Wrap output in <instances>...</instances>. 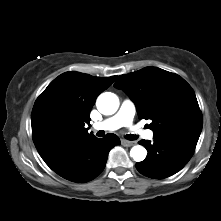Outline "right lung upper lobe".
I'll return each instance as SVG.
<instances>
[{
  "instance_id": "obj_1",
  "label": "right lung upper lobe",
  "mask_w": 221,
  "mask_h": 221,
  "mask_svg": "<svg viewBox=\"0 0 221 221\" xmlns=\"http://www.w3.org/2000/svg\"><path fill=\"white\" fill-rule=\"evenodd\" d=\"M80 72H65L37 98L32 114V137L40 155L93 137L89 113L98 95L114 81Z\"/></svg>"
}]
</instances>
